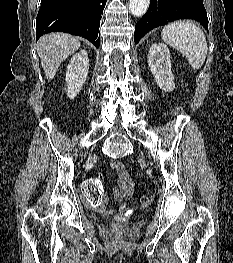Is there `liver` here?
<instances>
[{"label": "liver", "mask_w": 233, "mask_h": 263, "mask_svg": "<svg viewBox=\"0 0 233 263\" xmlns=\"http://www.w3.org/2000/svg\"><path fill=\"white\" fill-rule=\"evenodd\" d=\"M80 40L66 33L43 35L37 43L41 66L48 81L52 80L61 62L80 48Z\"/></svg>", "instance_id": "liver-1"}]
</instances>
